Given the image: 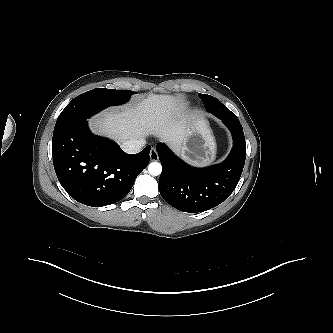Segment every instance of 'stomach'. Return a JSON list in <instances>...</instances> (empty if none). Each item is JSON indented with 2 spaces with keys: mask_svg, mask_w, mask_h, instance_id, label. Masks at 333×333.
<instances>
[{
  "mask_svg": "<svg viewBox=\"0 0 333 333\" xmlns=\"http://www.w3.org/2000/svg\"><path fill=\"white\" fill-rule=\"evenodd\" d=\"M180 154L198 166L214 161L216 143L209 124L203 117L192 118L189 121Z\"/></svg>",
  "mask_w": 333,
  "mask_h": 333,
  "instance_id": "1",
  "label": "stomach"
}]
</instances>
